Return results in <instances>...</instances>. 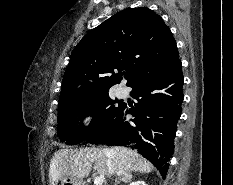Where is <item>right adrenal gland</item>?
<instances>
[{"instance_id":"right-adrenal-gland-1","label":"right adrenal gland","mask_w":233,"mask_h":185,"mask_svg":"<svg viewBox=\"0 0 233 185\" xmlns=\"http://www.w3.org/2000/svg\"><path fill=\"white\" fill-rule=\"evenodd\" d=\"M132 179V175L130 172H124L123 174L119 175V179L115 181L114 185L119 184L121 181L129 182Z\"/></svg>"}]
</instances>
